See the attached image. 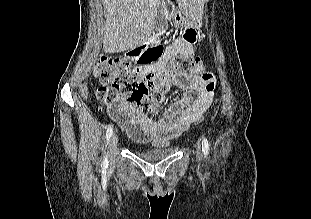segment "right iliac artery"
<instances>
[{
  "label": "right iliac artery",
  "instance_id": "obj_1",
  "mask_svg": "<svg viewBox=\"0 0 311 219\" xmlns=\"http://www.w3.org/2000/svg\"><path fill=\"white\" fill-rule=\"evenodd\" d=\"M112 133H113V129H112V127L110 126V127L107 129V131H106V139H107V141H109V139H110ZM102 166H103V167H108V160H107V157H104L103 162H102Z\"/></svg>",
  "mask_w": 311,
  "mask_h": 219
}]
</instances>
